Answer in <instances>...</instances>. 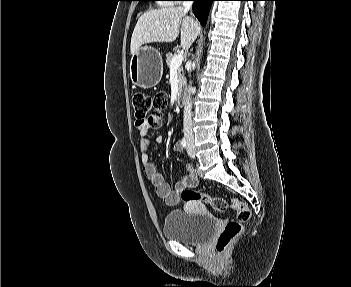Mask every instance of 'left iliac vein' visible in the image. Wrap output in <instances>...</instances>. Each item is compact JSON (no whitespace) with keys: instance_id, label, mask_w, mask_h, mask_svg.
Instances as JSON below:
<instances>
[{"instance_id":"4c4485c4","label":"left iliac vein","mask_w":351,"mask_h":287,"mask_svg":"<svg viewBox=\"0 0 351 287\" xmlns=\"http://www.w3.org/2000/svg\"><path fill=\"white\" fill-rule=\"evenodd\" d=\"M187 153H188L190 158H195V151H194V147H193L192 138H189V142H188V146H187Z\"/></svg>"}]
</instances>
